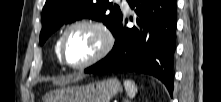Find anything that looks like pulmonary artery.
I'll list each match as a JSON object with an SVG mask.
<instances>
[{
	"label": "pulmonary artery",
	"instance_id": "1",
	"mask_svg": "<svg viewBox=\"0 0 221 102\" xmlns=\"http://www.w3.org/2000/svg\"><path fill=\"white\" fill-rule=\"evenodd\" d=\"M121 2H122L123 7H124L125 9H128V3H127V1H126V0H122Z\"/></svg>",
	"mask_w": 221,
	"mask_h": 102
}]
</instances>
